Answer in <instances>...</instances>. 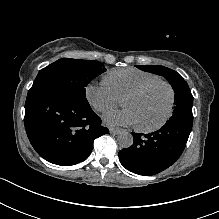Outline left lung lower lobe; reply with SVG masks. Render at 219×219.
<instances>
[{"mask_svg":"<svg viewBox=\"0 0 219 219\" xmlns=\"http://www.w3.org/2000/svg\"><path fill=\"white\" fill-rule=\"evenodd\" d=\"M193 120L169 119L158 131L134 133L133 145L119 151L124 168L136 174L151 176L174 164L189 138Z\"/></svg>","mask_w":219,"mask_h":219,"instance_id":"obj_1","label":"left lung lower lobe"}]
</instances>
